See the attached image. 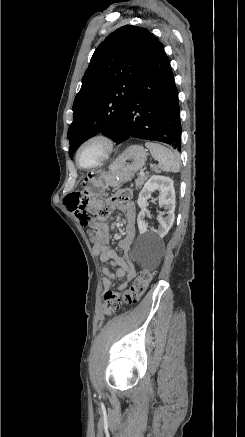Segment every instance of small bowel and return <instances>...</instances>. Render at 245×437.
I'll use <instances>...</instances> for the list:
<instances>
[{
    "instance_id": "1",
    "label": "small bowel",
    "mask_w": 245,
    "mask_h": 437,
    "mask_svg": "<svg viewBox=\"0 0 245 437\" xmlns=\"http://www.w3.org/2000/svg\"><path fill=\"white\" fill-rule=\"evenodd\" d=\"M65 206L76 215L81 229H90L92 226L96 231L93 241V253L105 264L102 268L105 275L102 280L104 289L110 288L115 281L119 280L118 290H124L137 273L136 265L129 256V250L136 234L134 204L132 202L114 203L112 207L123 211L126 218L125 234L118 243L119 248L123 251L122 256L117 255L109 246V227L106 224L91 223L92 217L87 215L86 211L92 209L94 204H89L84 192L77 191L69 194L65 199ZM110 268H114L115 272H112Z\"/></svg>"
}]
</instances>
